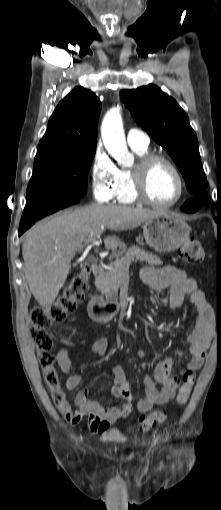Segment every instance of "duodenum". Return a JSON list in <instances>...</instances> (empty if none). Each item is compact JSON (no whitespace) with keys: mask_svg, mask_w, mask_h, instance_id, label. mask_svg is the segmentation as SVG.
<instances>
[{"mask_svg":"<svg viewBox=\"0 0 221 510\" xmlns=\"http://www.w3.org/2000/svg\"><path fill=\"white\" fill-rule=\"evenodd\" d=\"M92 273L96 280H98L102 273L103 267L95 263L92 266ZM118 304L114 301H105L97 293V289H94L90 300L87 303V312L90 318L98 323H104L108 321L117 311Z\"/></svg>","mask_w":221,"mask_h":510,"instance_id":"duodenum-1","label":"duodenum"}]
</instances>
